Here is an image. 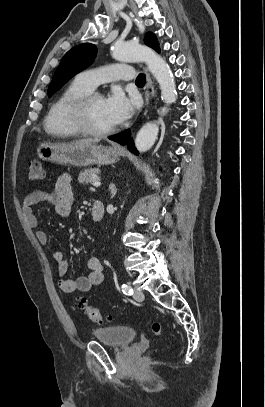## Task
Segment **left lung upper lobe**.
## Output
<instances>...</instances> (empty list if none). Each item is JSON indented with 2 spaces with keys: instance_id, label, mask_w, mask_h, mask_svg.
Instances as JSON below:
<instances>
[{
  "instance_id": "5c2ea615",
  "label": "left lung upper lobe",
  "mask_w": 265,
  "mask_h": 407,
  "mask_svg": "<svg viewBox=\"0 0 265 407\" xmlns=\"http://www.w3.org/2000/svg\"><path fill=\"white\" fill-rule=\"evenodd\" d=\"M144 42L157 52H160L156 36L148 32ZM96 46L90 43L80 44L69 50L61 60L48 87V96L51 97L58 89L69 81L71 77L90 65L96 56Z\"/></svg>"
}]
</instances>
